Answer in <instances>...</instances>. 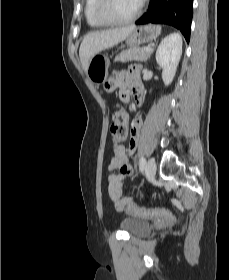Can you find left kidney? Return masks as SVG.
<instances>
[{
  "label": "left kidney",
  "mask_w": 229,
  "mask_h": 280,
  "mask_svg": "<svg viewBox=\"0 0 229 280\" xmlns=\"http://www.w3.org/2000/svg\"><path fill=\"white\" fill-rule=\"evenodd\" d=\"M182 55V38L178 33H171L160 43L156 51L157 64L162 67V79L168 86L174 79Z\"/></svg>",
  "instance_id": "left-kidney-1"
}]
</instances>
